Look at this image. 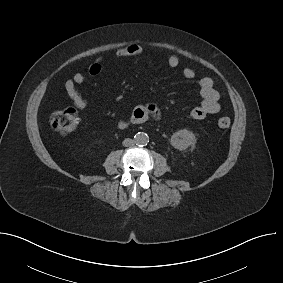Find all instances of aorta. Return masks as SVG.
I'll use <instances>...</instances> for the list:
<instances>
[{
    "mask_svg": "<svg viewBox=\"0 0 283 283\" xmlns=\"http://www.w3.org/2000/svg\"><path fill=\"white\" fill-rule=\"evenodd\" d=\"M134 142L140 146L147 145V143L149 142V137L144 132H138L134 136Z\"/></svg>",
    "mask_w": 283,
    "mask_h": 283,
    "instance_id": "aorta-1",
    "label": "aorta"
}]
</instances>
